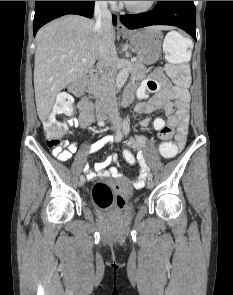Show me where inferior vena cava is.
Segmentation results:
<instances>
[{"label":"inferior vena cava","instance_id":"obj_1","mask_svg":"<svg viewBox=\"0 0 233 295\" xmlns=\"http://www.w3.org/2000/svg\"><path fill=\"white\" fill-rule=\"evenodd\" d=\"M94 16L95 28L99 32L100 60L104 63H113L117 54L113 40L110 36L112 28V15L108 10L107 1H95ZM105 104L111 117H118V105L116 101V89L113 70H108L106 79Z\"/></svg>","mask_w":233,"mask_h":295}]
</instances>
